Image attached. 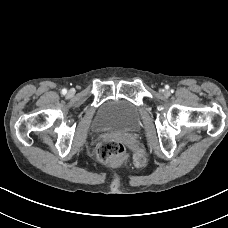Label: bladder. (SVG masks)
<instances>
[{
  "label": "bladder",
  "instance_id": "bladder-1",
  "mask_svg": "<svg viewBox=\"0 0 228 228\" xmlns=\"http://www.w3.org/2000/svg\"><path fill=\"white\" fill-rule=\"evenodd\" d=\"M141 121L139 106L122 98L109 99L98 108L92 127L95 131L128 132L136 130Z\"/></svg>",
  "mask_w": 228,
  "mask_h": 228
}]
</instances>
